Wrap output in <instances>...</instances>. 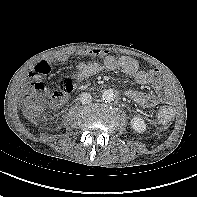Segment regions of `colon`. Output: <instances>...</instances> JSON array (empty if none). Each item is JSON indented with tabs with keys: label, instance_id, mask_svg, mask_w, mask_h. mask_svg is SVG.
Returning a JSON list of instances; mask_svg holds the SVG:
<instances>
[{
	"label": "colon",
	"instance_id": "5ec220e1",
	"mask_svg": "<svg viewBox=\"0 0 197 197\" xmlns=\"http://www.w3.org/2000/svg\"><path fill=\"white\" fill-rule=\"evenodd\" d=\"M74 89V81L66 78L60 82L59 90L50 98V102L54 105L62 103L65 95L71 93ZM46 94V87L43 82H36L33 88L28 92L22 101V108L26 115L31 118H37L43 107L44 97ZM174 117V110L170 106H162L158 112V119L162 123L170 122Z\"/></svg>",
	"mask_w": 197,
	"mask_h": 197
}]
</instances>
